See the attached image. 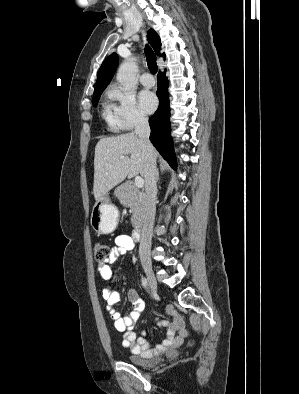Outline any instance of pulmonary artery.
I'll return each instance as SVG.
<instances>
[{
	"mask_svg": "<svg viewBox=\"0 0 299 394\" xmlns=\"http://www.w3.org/2000/svg\"><path fill=\"white\" fill-rule=\"evenodd\" d=\"M140 82L142 83L143 86L149 88V87L154 86V84H155V79H154V77H153L150 73L145 72V73H143V74L141 75V77H140Z\"/></svg>",
	"mask_w": 299,
	"mask_h": 394,
	"instance_id": "e3ab8cb5",
	"label": "pulmonary artery"
}]
</instances>
